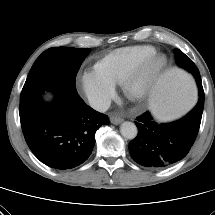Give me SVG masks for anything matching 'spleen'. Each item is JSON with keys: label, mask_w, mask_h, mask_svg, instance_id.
I'll return each instance as SVG.
<instances>
[{"label": "spleen", "mask_w": 215, "mask_h": 215, "mask_svg": "<svg viewBox=\"0 0 215 215\" xmlns=\"http://www.w3.org/2000/svg\"><path fill=\"white\" fill-rule=\"evenodd\" d=\"M197 78L181 70H170L161 75L151 96V107L163 120L180 116L197 102Z\"/></svg>", "instance_id": "spleen-1"}]
</instances>
